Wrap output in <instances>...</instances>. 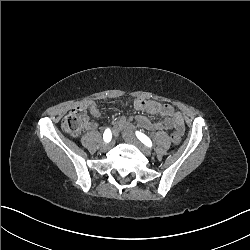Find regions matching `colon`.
I'll return each mask as SVG.
<instances>
[{
    "mask_svg": "<svg viewBox=\"0 0 250 250\" xmlns=\"http://www.w3.org/2000/svg\"><path fill=\"white\" fill-rule=\"evenodd\" d=\"M87 123V116L85 111L82 108H75L72 109L62 120L61 128L62 130L70 135V136H77L81 133L83 128ZM171 142L174 146L180 145V136L177 134L176 131L170 132Z\"/></svg>",
    "mask_w": 250,
    "mask_h": 250,
    "instance_id": "obj_1",
    "label": "colon"
}]
</instances>
